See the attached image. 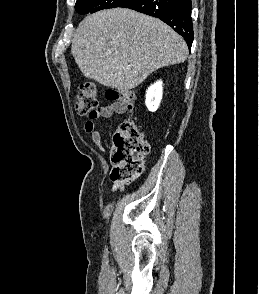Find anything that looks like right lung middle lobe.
<instances>
[{"mask_svg":"<svg viewBox=\"0 0 259 294\" xmlns=\"http://www.w3.org/2000/svg\"><path fill=\"white\" fill-rule=\"evenodd\" d=\"M128 0H77L75 9L80 14L94 13L102 9L119 7Z\"/></svg>","mask_w":259,"mask_h":294,"instance_id":"dd1d6c3e","label":"right lung middle lobe"}]
</instances>
